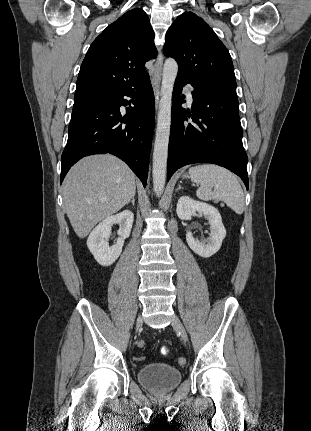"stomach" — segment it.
<instances>
[{"instance_id": "stomach-1", "label": "stomach", "mask_w": 311, "mask_h": 431, "mask_svg": "<svg viewBox=\"0 0 311 431\" xmlns=\"http://www.w3.org/2000/svg\"><path fill=\"white\" fill-rule=\"evenodd\" d=\"M181 178H184V180H185V178H189V176H188V174H182Z\"/></svg>"}]
</instances>
